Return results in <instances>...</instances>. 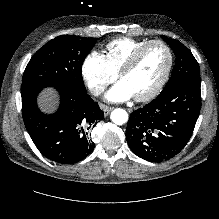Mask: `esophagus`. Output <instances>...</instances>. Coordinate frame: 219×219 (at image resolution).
<instances>
[{
	"mask_svg": "<svg viewBox=\"0 0 219 219\" xmlns=\"http://www.w3.org/2000/svg\"><path fill=\"white\" fill-rule=\"evenodd\" d=\"M102 108L104 111V116H108L109 113L114 109L113 107H109V106H105V105H103Z\"/></svg>",
	"mask_w": 219,
	"mask_h": 219,
	"instance_id": "34e87169",
	"label": "esophagus"
}]
</instances>
